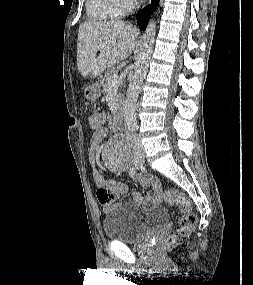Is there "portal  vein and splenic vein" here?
<instances>
[{"label":"portal vein and splenic vein","mask_w":253,"mask_h":285,"mask_svg":"<svg viewBox=\"0 0 253 285\" xmlns=\"http://www.w3.org/2000/svg\"><path fill=\"white\" fill-rule=\"evenodd\" d=\"M106 48L105 45L98 47V50ZM110 86H116L118 84V76L115 74L111 79H109Z\"/></svg>","instance_id":"18ae733b"}]
</instances>
